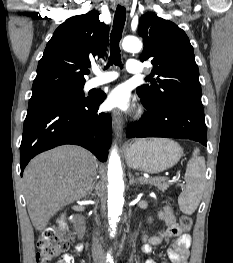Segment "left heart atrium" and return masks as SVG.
I'll return each instance as SVG.
<instances>
[{
    "label": "left heart atrium",
    "instance_id": "39dd6f15",
    "mask_svg": "<svg viewBox=\"0 0 233 263\" xmlns=\"http://www.w3.org/2000/svg\"><path fill=\"white\" fill-rule=\"evenodd\" d=\"M105 106L108 110H129L132 103L128 89L124 85L113 88L107 95Z\"/></svg>",
    "mask_w": 233,
    "mask_h": 263
}]
</instances>
